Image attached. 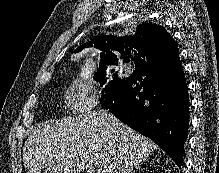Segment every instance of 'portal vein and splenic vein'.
Instances as JSON below:
<instances>
[{
    "instance_id": "18ae733b",
    "label": "portal vein and splenic vein",
    "mask_w": 219,
    "mask_h": 173,
    "mask_svg": "<svg viewBox=\"0 0 219 173\" xmlns=\"http://www.w3.org/2000/svg\"><path fill=\"white\" fill-rule=\"evenodd\" d=\"M88 172H89V173H93V171H92V170H88Z\"/></svg>"
}]
</instances>
